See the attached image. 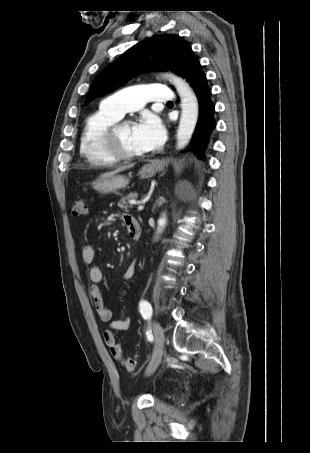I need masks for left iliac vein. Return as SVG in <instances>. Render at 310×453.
I'll return each instance as SVG.
<instances>
[{"instance_id":"left-iliac-vein-1","label":"left iliac vein","mask_w":310,"mask_h":453,"mask_svg":"<svg viewBox=\"0 0 310 453\" xmlns=\"http://www.w3.org/2000/svg\"><path fill=\"white\" fill-rule=\"evenodd\" d=\"M152 331L155 337V348L152 359L145 370L146 376H150L157 369L159 363L161 362L165 344L164 332L158 322L154 321L152 323Z\"/></svg>"}]
</instances>
